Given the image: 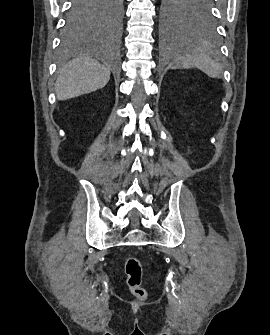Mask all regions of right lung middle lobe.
<instances>
[{"label":"right lung middle lobe","instance_id":"obj_1","mask_svg":"<svg viewBox=\"0 0 270 335\" xmlns=\"http://www.w3.org/2000/svg\"><path fill=\"white\" fill-rule=\"evenodd\" d=\"M62 32L64 45H70L99 25L117 28L124 0H72Z\"/></svg>","mask_w":270,"mask_h":335}]
</instances>
